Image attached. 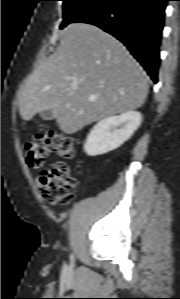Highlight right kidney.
<instances>
[{"instance_id":"1","label":"right kidney","mask_w":180,"mask_h":299,"mask_svg":"<svg viewBox=\"0 0 180 299\" xmlns=\"http://www.w3.org/2000/svg\"><path fill=\"white\" fill-rule=\"evenodd\" d=\"M141 120L142 115L137 111L102 119L88 134L84 151L88 156H97L120 147L137 130Z\"/></svg>"}]
</instances>
